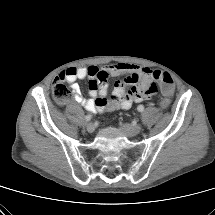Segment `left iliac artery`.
Here are the masks:
<instances>
[{"label": "left iliac artery", "mask_w": 215, "mask_h": 215, "mask_svg": "<svg viewBox=\"0 0 215 215\" xmlns=\"http://www.w3.org/2000/svg\"><path fill=\"white\" fill-rule=\"evenodd\" d=\"M137 110H138L139 112H143V111H144V106H143V105H139V106L137 107Z\"/></svg>", "instance_id": "44dca946"}]
</instances>
